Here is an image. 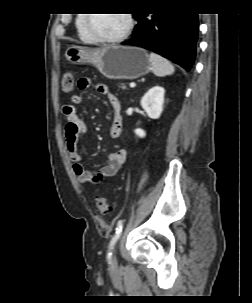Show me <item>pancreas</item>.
<instances>
[{"label":"pancreas","mask_w":252,"mask_h":303,"mask_svg":"<svg viewBox=\"0 0 252 303\" xmlns=\"http://www.w3.org/2000/svg\"><path fill=\"white\" fill-rule=\"evenodd\" d=\"M119 87H120L121 89H123V90H126L125 84H120Z\"/></svg>","instance_id":"pancreas-1"}]
</instances>
